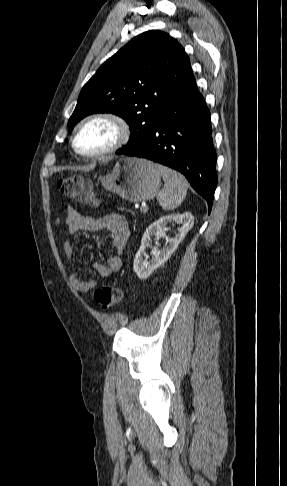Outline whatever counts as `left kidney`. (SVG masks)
Returning a JSON list of instances; mask_svg holds the SVG:
<instances>
[{
  "label": "left kidney",
  "mask_w": 287,
  "mask_h": 486,
  "mask_svg": "<svg viewBox=\"0 0 287 486\" xmlns=\"http://www.w3.org/2000/svg\"><path fill=\"white\" fill-rule=\"evenodd\" d=\"M170 223L181 224L178 234L174 238L168 239V246L159 250L157 247L152 249V259L148 260L146 257V248L151 246L152 237L156 236L158 241L160 238L166 237L167 226ZM194 224V217L191 213L174 214L160 217L158 220L150 224L141 240V246L135 255L133 269L138 278H148L154 270L164 264L171 255L175 252L178 245L183 241L186 234L191 230Z\"/></svg>",
  "instance_id": "left-kidney-1"
}]
</instances>
